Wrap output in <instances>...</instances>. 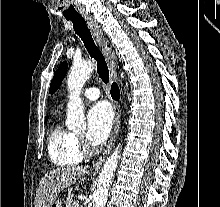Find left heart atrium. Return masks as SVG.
<instances>
[{
	"mask_svg": "<svg viewBox=\"0 0 220 207\" xmlns=\"http://www.w3.org/2000/svg\"><path fill=\"white\" fill-rule=\"evenodd\" d=\"M113 123V112L105 101L95 103L87 114V138L93 144H100L107 139Z\"/></svg>",
	"mask_w": 220,
	"mask_h": 207,
	"instance_id": "left-heart-atrium-1",
	"label": "left heart atrium"
}]
</instances>
